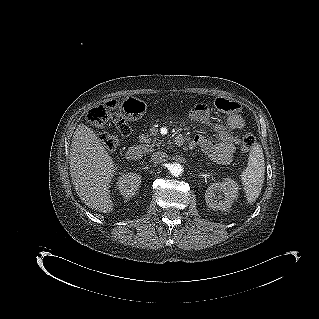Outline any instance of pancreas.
Wrapping results in <instances>:
<instances>
[{
    "instance_id": "cf45deb5",
    "label": "pancreas",
    "mask_w": 319,
    "mask_h": 319,
    "mask_svg": "<svg viewBox=\"0 0 319 319\" xmlns=\"http://www.w3.org/2000/svg\"><path fill=\"white\" fill-rule=\"evenodd\" d=\"M139 141L140 143H142V148L145 151H151L153 150L154 145H150L151 143V138H149L148 136H145L144 134L139 136Z\"/></svg>"
}]
</instances>
